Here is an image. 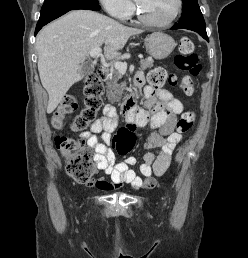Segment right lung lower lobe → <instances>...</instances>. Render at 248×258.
Listing matches in <instances>:
<instances>
[{
	"instance_id": "obj_1",
	"label": "right lung lower lobe",
	"mask_w": 248,
	"mask_h": 258,
	"mask_svg": "<svg viewBox=\"0 0 248 258\" xmlns=\"http://www.w3.org/2000/svg\"><path fill=\"white\" fill-rule=\"evenodd\" d=\"M74 9H87V10H94L98 11L100 10L99 4H94L90 2H83V3H77L74 5L66 6L60 9L53 10L51 12H48L44 15H40L39 21L37 23L36 29H35V35L38 33V31L47 23L51 22L52 20L60 17L61 15L65 14L66 12Z\"/></svg>"
}]
</instances>
